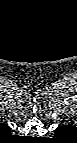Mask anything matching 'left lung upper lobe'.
I'll return each instance as SVG.
<instances>
[{"mask_svg": "<svg viewBox=\"0 0 77 143\" xmlns=\"http://www.w3.org/2000/svg\"><path fill=\"white\" fill-rule=\"evenodd\" d=\"M67 126L59 127L56 129V131H59L61 134H63L65 131H67Z\"/></svg>", "mask_w": 77, "mask_h": 143, "instance_id": "1", "label": "left lung upper lobe"}]
</instances>
